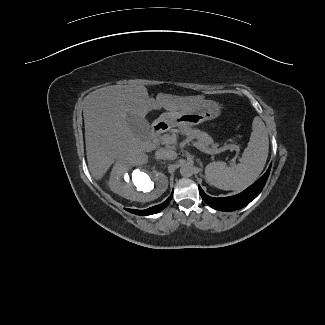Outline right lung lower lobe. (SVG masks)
<instances>
[{
    "label": "right lung lower lobe",
    "instance_id": "1",
    "mask_svg": "<svg viewBox=\"0 0 325 325\" xmlns=\"http://www.w3.org/2000/svg\"><path fill=\"white\" fill-rule=\"evenodd\" d=\"M173 193L161 204L150 207L148 209L145 210H135V209H127L125 208L127 211L133 213V214H137V215H151V214H155L160 212L161 210H163L170 202V200L172 199Z\"/></svg>",
    "mask_w": 325,
    "mask_h": 325
}]
</instances>
